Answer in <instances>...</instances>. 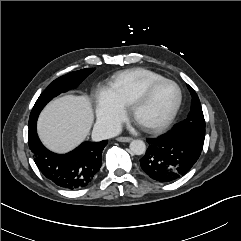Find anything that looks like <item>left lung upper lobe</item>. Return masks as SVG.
I'll list each match as a JSON object with an SVG mask.
<instances>
[{
    "label": "left lung upper lobe",
    "instance_id": "5c2ea615",
    "mask_svg": "<svg viewBox=\"0 0 241 241\" xmlns=\"http://www.w3.org/2000/svg\"><path fill=\"white\" fill-rule=\"evenodd\" d=\"M192 95L191 111L185 121L177 125L173 132L182 133L200 149L203 148L205 138V120L200 100L196 92L188 85Z\"/></svg>",
    "mask_w": 241,
    "mask_h": 241
}]
</instances>
